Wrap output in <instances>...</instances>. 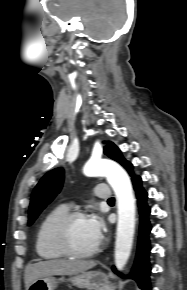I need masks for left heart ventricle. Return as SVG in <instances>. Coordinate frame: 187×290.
Instances as JSON below:
<instances>
[{
	"mask_svg": "<svg viewBox=\"0 0 187 290\" xmlns=\"http://www.w3.org/2000/svg\"><path fill=\"white\" fill-rule=\"evenodd\" d=\"M70 236L72 245L80 251H87L99 242L89 225L88 217L74 221Z\"/></svg>",
	"mask_w": 187,
	"mask_h": 290,
	"instance_id": "1",
	"label": "left heart ventricle"
}]
</instances>
